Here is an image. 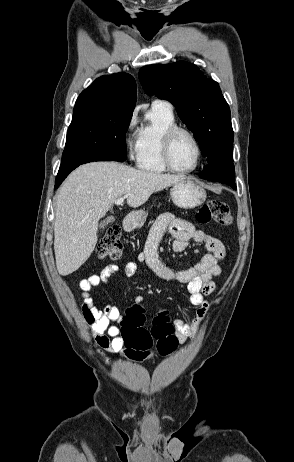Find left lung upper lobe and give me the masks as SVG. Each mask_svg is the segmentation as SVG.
<instances>
[{
	"mask_svg": "<svg viewBox=\"0 0 294 462\" xmlns=\"http://www.w3.org/2000/svg\"><path fill=\"white\" fill-rule=\"evenodd\" d=\"M145 92L171 102L199 142L208 164L233 163L230 108L218 83L193 64L149 65L139 71Z\"/></svg>",
	"mask_w": 294,
	"mask_h": 462,
	"instance_id": "left-lung-upper-lobe-1",
	"label": "left lung upper lobe"
}]
</instances>
